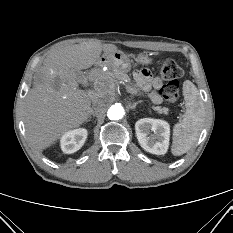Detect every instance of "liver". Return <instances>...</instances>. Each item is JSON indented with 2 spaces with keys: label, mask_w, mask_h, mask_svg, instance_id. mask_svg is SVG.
<instances>
[{
  "label": "liver",
  "mask_w": 233,
  "mask_h": 233,
  "mask_svg": "<svg viewBox=\"0 0 233 233\" xmlns=\"http://www.w3.org/2000/svg\"><path fill=\"white\" fill-rule=\"evenodd\" d=\"M114 44L89 41L58 47L47 55L34 76V88L24 103V123L29 143L38 150L55 144L67 131L87 121L91 112L88 93L78 88L76 72L88 69Z\"/></svg>",
  "instance_id": "obj_1"
}]
</instances>
